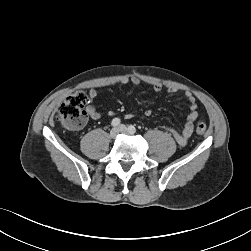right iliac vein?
Instances as JSON below:
<instances>
[{"mask_svg": "<svg viewBox=\"0 0 251 251\" xmlns=\"http://www.w3.org/2000/svg\"><path fill=\"white\" fill-rule=\"evenodd\" d=\"M119 134V129L118 128H113L111 131H110V137L112 139L116 138Z\"/></svg>", "mask_w": 251, "mask_h": 251, "instance_id": "63e3f726", "label": "right iliac vein"}]
</instances>
